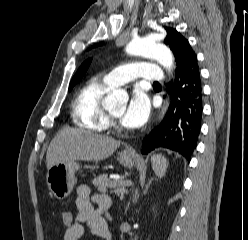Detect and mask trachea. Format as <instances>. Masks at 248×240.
<instances>
[{"instance_id":"1","label":"trachea","mask_w":248,"mask_h":240,"mask_svg":"<svg viewBox=\"0 0 248 240\" xmlns=\"http://www.w3.org/2000/svg\"><path fill=\"white\" fill-rule=\"evenodd\" d=\"M154 84H159L158 82H154Z\"/></svg>"}]
</instances>
